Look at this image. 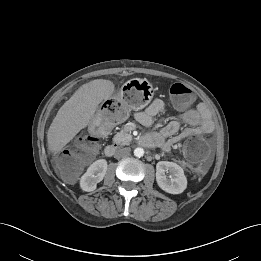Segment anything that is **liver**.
<instances>
[{
  "mask_svg": "<svg viewBox=\"0 0 261 261\" xmlns=\"http://www.w3.org/2000/svg\"><path fill=\"white\" fill-rule=\"evenodd\" d=\"M112 81L96 79L83 84L59 109L47 132L48 148L58 153L95 116L99 104L112 96Z\"/></svg>",
  "mask_w": 261,
  "mask_h": 261,
  "instance_id": "6515ba94",
  "label": "liver"
}]
</instances>
